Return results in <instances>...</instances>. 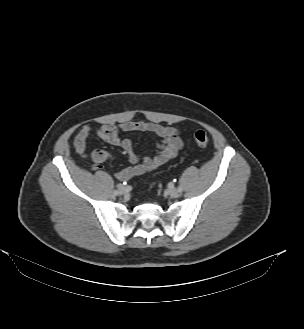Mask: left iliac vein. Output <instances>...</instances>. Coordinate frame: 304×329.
Returning <instances> with one entry per match:
<instances>
[{
  "label": "left iliac vein",
  "mask_w": 304,
  "mask_h": 329,
  "mask_svg": "<svg viewBox=\"0 0 304 329\" xmlns=\"http://www.w3.org/2000/svg\"><path fill=\"white\" fill-rule=\"evenodd\" d=\"M167 194L172 198H177L181 195L180 191L177 188H174V187L169 188L167 190Z\"/></svg>",
  "instance_id": "obj_1"
}]
</instances>
